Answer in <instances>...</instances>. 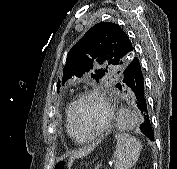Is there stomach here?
I'll list each match as a JSON object with an SVG mask.
<instances>
[{"mask_svg":"<svg viewBox=\"0 0 177 169\" xmlns=\"http://www.w3.org/2000/svg\"><path fill=\"white\" fill-rule=\"evenodd\" d=\"M66 166L63 161H57L54 165V169H66Z\"/></svg>","mask_w":177,"mask_h":169,"instance_id":"0dacf381","label":"stomach"}]
</instances>
